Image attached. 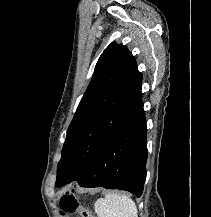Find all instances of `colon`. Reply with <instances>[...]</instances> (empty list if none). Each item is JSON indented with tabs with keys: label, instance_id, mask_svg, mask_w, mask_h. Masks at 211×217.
<instances>
[{
	"label": "colon",
	"instance_id": "5ec220e1",
	"mask_svg": "<svg viewBox=\"0 0 211 217\" xmlns=\"http://www.w3.org/2000/svg\"><path fill=\"white\" fill-rule=\"evenodd\" d=\"M60 207L64 213H79L82 217H95L89 211L81 208L73 193L67 192L60 198Z\"/></svg>",
	"mask_w": 211,
	"mask_h": 217
}]
</instances>
